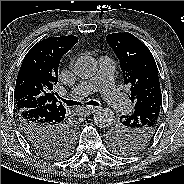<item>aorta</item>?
<instances>
[{"instance_id":"obj_1","label":"aorta","mask_w":184,"mask_h":184,"mask_svg":"<svg viewBox=\"0 0 184 184\" xmlns=\"http://www.w3.org/2000/svg\"><path fill=\"white\" fill-rule=\"evenodd\" d=\"M98 69L95 58L91 56H80L74 66L75 74L81 79H89L94 76ZM115 115L109 107H100L94 113V123L99 128H107L112 125Z\"/></svg>"}]
</instances>
